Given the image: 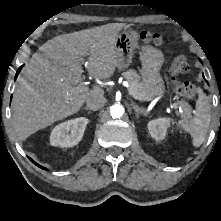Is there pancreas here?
<instances>
[{"label": "pancreas", "mask_w": 221, "mask_h": 221, "mask_svg": "<svg viewBox=\"0 0 221 221\" xmlns=\"http://www.w3.org/2000/svg\"><path fill=\"white\" fill-rule=\"evenodd\" d=\"M125 79L129 82V91L130 93L138 100H147L148 96L146 89L143 83L140 81V76L134 70H129L123 74ZM177 106H180L184 111L185 115L190 113V106L188 103L181 101L176 103Z\"/></svg>", "instance_id": "pancreas-1"}]
</instances>
